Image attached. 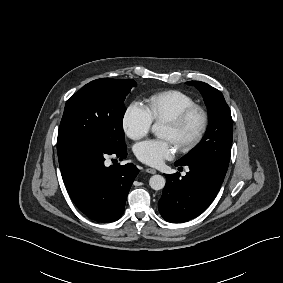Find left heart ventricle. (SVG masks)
I'll return each instance as SVG.
<instances>
[{
	"label": "left heart ventricle",
	"mask_w": 283,
	"mask_h": 283,
	"mask_svg": "<svg viewBox=\"0 0 283 283\" xmlns=\"http://www.w3.org/2000/svg\"><path fill=\"white\" fill-rule=\"evenodd\" d=\"M198 123H199V120L197 117L192 118L190 122L187 124V126L179 133L174 131L168 125L164 124L162 131H161V136L164 139H169L173 143H176V141L180 139H185L193 135L198 127Z\"/></svg>",
	"instance_id": "obj_1"
}]
</instances>
